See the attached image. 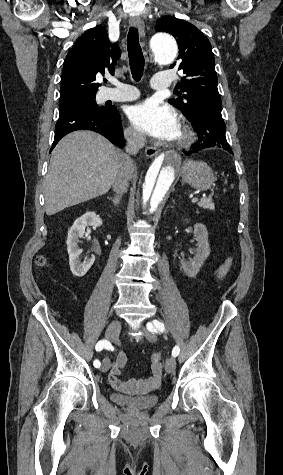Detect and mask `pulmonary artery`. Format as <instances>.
<instances>
[{
	"label": "pulmonary artery",
	"instance_id": "1",
	"mask_svg": "<svg viewBox=\"0 0 283 475\" xmlns=\"http://www.w3.org/2000/svg\"><path fill=\"white\" fill-rule=\"evenodd\" d=\"M116 87H104L103 95L104 96H119L113 98L112 101L122 102V101H132L135 97H126V96H135L139 94V89L131 87V85L123 84H112ZM173 83L171 80H152L151 88L152 89H171Z\"/></svg>",
	"mask_w": 283,
	"mask_h": 475
}]
</instances>
